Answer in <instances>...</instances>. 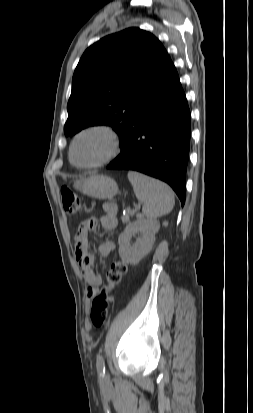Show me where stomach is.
Returning <instances> with one entry per match:
<instances>
[{
    "instance_id": "stomach-1",
    "label": "stomach",
    "mask_w": 253,
    "mask_h": 413,
    "mask_svg": "<svg viewBox=\"0 0 253 413\" xmlns=\"http://www.w3.org/2000/svg\"><path fill=\"white\" fill-rule=\"evenodd\" d=\"M77 190L96 199H110L118 193L115 180L104 175H92L74 183Z\"/></svg>"
}]
</instances>
